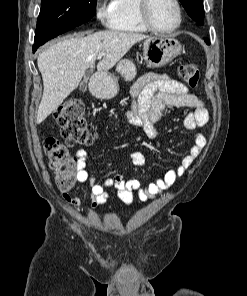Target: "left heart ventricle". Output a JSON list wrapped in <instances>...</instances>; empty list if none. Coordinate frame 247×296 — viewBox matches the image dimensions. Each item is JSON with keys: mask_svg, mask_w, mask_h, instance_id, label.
Returning <instances> with one entry per match:
<instances>
[{"mask_svg": "<svg viewBox=\"0 0 247 296\" xmlns=\"http://www.w3.org/2000/svg\"><path fill=\"white\" fill-rule=\"evenodd\" d=\"M149 15L152 23L160 29L171 28L177 21V12L172 0H151Z\"/></svg>", "mask_w": 247, "mask_h": 296, "instance_id": "1", "label": "left heart ventricle"}]
</instances>
